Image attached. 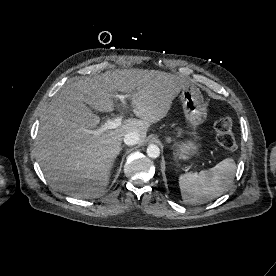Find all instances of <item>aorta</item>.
<instances>
[{
    "label": "aorta",
    "instance_id": "762f6f07",
    "mask_svg": "<svg viewBox=\"0 0 276 276\" xmlns=\"http://www.w3.org/2000/svg\"><path fill=\"white\" fill-rule=\"evenodd\" d=\"M147 155L150 158H157L160 156V149L157 145L151 144L147 147Z\"/></svg>",
    "mask_w": 276,
    "mask_h": 276
}]
</instances>
